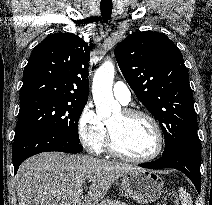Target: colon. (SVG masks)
Here are the masks:
<instances>
[{"mask_svg":"<svg viewBox=\"0 0 212 205\" xmlns=\"http://www.w3.org/2000/svg\"><path fill=\"white\" fill-rule=\"evenodd\" d=\"M162 205H179L176 193L173 191L167 192L164 196Z\"/></svg>","mask_w":212,"mask_h":205,"instance_id":"1","label":"colon"}]
</instances>
